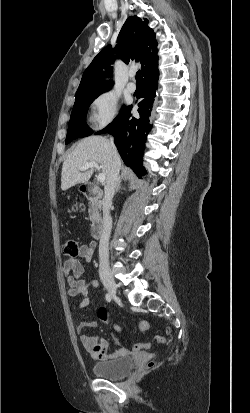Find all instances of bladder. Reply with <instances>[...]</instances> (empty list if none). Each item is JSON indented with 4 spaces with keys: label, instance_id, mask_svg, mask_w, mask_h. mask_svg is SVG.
Returning <instances> with one entry per match:
<instances>
[{
    "label": "bladder",
    "instance_id": "1",
    "mask_svg": "<svg viewBox=\"0 0 250 413\" xmlns=\"http://www.w3.org/2000/svg\"><path fill=\"white\" fill-rule=\"evenodd\" d=\"M135 360L130 355H121L114 359L93 365V373L100 378L119 379L126 376L134 368Z\"/></svg>",
    "mask_w": 250,
    "mask_h": 413
}]
</instances>
